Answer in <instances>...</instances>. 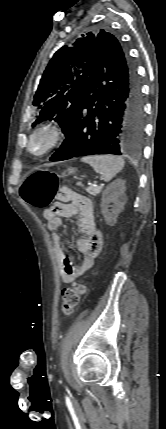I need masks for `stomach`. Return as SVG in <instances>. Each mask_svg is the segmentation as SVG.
I'll return each mask as SVG.
<instances>
[{
    "instance_id": "1",
    "label": "stomach",
    "mask_w": 166,
    "mask_h": 429,
    "mask_svg": "<svg viewBox=\"0 0 166 429\" xmlns=\"http://www.w3.org/2000/svg\"><path fill=\"white\" fill-rule=\"evenodd\" d=\"M68 171H69V173H74L75 169L70 168Z\"/></svg>"
}]
</instances>
